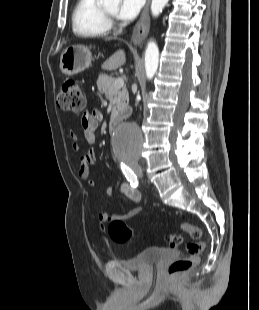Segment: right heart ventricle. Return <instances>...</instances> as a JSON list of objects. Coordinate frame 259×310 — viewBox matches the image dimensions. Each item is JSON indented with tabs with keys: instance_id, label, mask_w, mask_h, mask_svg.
Segmentation results:
<instances>
[{
	"instance_id": "obj_1",
	"label": "right heart ventricle",
	"mask_w": 259,
	"mask_h": 310,
	"mask_svg": "<svg viewBox=\"0 0 259 310\" xmlns=\"http://www.w3.org/2000/svg\"><path fill=\"white\" fill-rule=\"evenodd\" d=\"M72 21L74 32L80 36H103L108 33L110 28L102 14L99 0H78Z\"/></svg>"
}]
</instances>
